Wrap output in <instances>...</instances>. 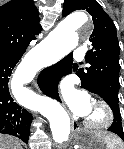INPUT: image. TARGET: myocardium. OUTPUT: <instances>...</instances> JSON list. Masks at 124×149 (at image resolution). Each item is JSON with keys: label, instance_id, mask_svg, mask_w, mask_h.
<instances>
[{"label": "myocardium", "instance_id": "obj_1", "mask_svg": "<svg viewBox=\"0 0 124 149\" xmlns=\"http://www.w3.org/2000/svg\"><path fill=\"white\" fill-rule=\"evenodd\" d=\"M93 108L98 111V117L84 120V125L93 131H102L108 129L114 121V112L111 106L104 100H95Z\"/></svg>", "mask_w": 124, "mask_h": 149}]
</instances>
